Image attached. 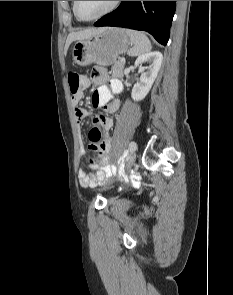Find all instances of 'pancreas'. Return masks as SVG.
<instances>
[{
	"instance_id": "cf45deb5",
	"label": "pancreas",
	"mask_w": 233,
	"mask_h": 295,
	"mask_svg": "<svg viewBox=\"0 0 233 295\" xmlns=\"http://www.w3.org/2000/svg\"><path fill=\"white\" fill-rule=\"evenodd\" d=\"M124 66H125L124 61H121V60L116 61L111 68L112 77L122 78Z\"/></svg>"
}]
</instances>
